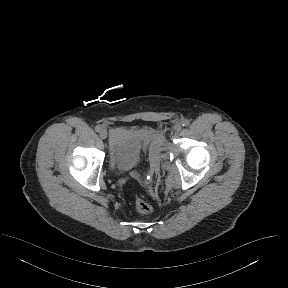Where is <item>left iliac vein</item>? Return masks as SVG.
Returning <instances> with one entry per match:
<instances>
[{"instance_id":"left-iliac-vein-1","label":"left iliac vein","mask_w":288,"mask_h":288,"mask_svg":"<svg viewBox=\"0 0 288 288\" xmlns=\"http://www.w3.org/2000/svg\"><path fill=\"white\" fill-rule=\"evenodd\" d=\"M181 129H182V125L180 123H178L174 126V131H176V132L180 131Z\"/></svg>"}]
</instances>
